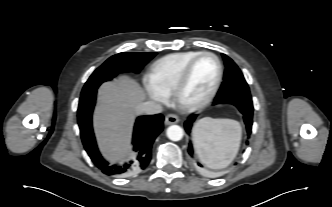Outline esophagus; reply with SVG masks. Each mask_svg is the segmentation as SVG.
I'll return each mask as SVG.
<instances>
[{"mask_svg": "<svg viewBox=\"0 0 332 207\" xmlns=\"http://www.w3.org/2000/svg\"><path fill=\"white\" fill-rule=\"evenodd\" d=\"M179 122V118L177 115L175 114H168L166 117H165V124L166 125H171V124H176Z\"/></svg>", "mask_w": 332, "mask_h": 207, "instance_id": "1", "label": "esophagus"}]
</instances>
